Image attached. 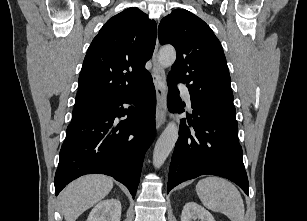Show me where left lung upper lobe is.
Instances as JSON below:
<instances>
[{
  "label": "left lung upper lobe",
  "instance_id": "1",
  "mask_svg": "<svg viewBox=\"0 0 307 221\" xmlns=\"http://www.w3.org/2000/svg\"><path fill=\"white\" fill-rule=\"evenodd\" d=\"M159 41L177 52L168 78L186 83L191 100L237 123L230 74L211 28L187 10H174L159 24Z\"/></svg>",
  "mask_w": 307,
  "mask_h": 221
}]
</instances>
